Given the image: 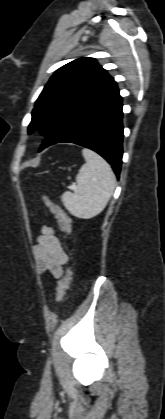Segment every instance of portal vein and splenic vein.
Masks as SVG:
<instances>
[{"label":"portal vein and splenic vein","instance_id":"portal-vein-and-splenic-vein-1","mask_svg":"<svg viewBox=\"0 0 165 419\" xmlns=\"http://www.w3.org/2000/svg\"><path fill=\"white\" fill-rule=\"evenodd\" d=\"M71 188H76V186L73 184V185L71 186Z\"/></svg>","mask_w":165,"mask_h":419}]
</instances>
